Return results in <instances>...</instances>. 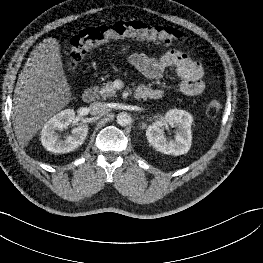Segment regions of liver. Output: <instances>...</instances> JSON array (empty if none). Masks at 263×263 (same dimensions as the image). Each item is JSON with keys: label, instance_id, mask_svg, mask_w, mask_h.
<instances>
[{"label": "liver", "instance_id": "liver-1", "mask_svg": "<svg viewBox=\"0 0 263 263\" xmlns=\"http://www.w3.org/2000/svg\"><path fill=\"white\" fill-rule=\"evenodd\" d=\"M14 93L13 126L19 144L24 147L70 101V86L55 38L44 39L33 49Z\"/></svg>", "mask_w": 263, "mask_h": 263}]
</instances>
